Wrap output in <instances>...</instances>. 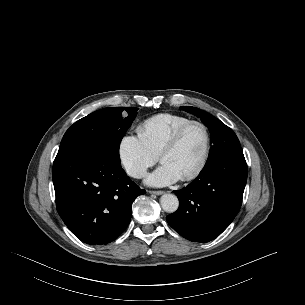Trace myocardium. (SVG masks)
<instances>
[{"label": "myocardium", "instance_id": "f54148a6", "mask_svg": "<svg viewBox=\"0 0 305 305\" xmlns=\"http://www.w3.org/2000/svg\"><path fill=\"white\" fill-rule=\"evenodd\" d=\"M200 126L204 133H205V138H206V142H205V149H204V153L203 156L201 158L200 163L198 164V166L191 171L190 173H188L187 175L183 176L180 178L181 181H190L192 179H195L196 177H198L203 170L205 169L209 157H210V153H211V147H212V137H211V133L210 130L208 128V126L203 123L202 121H198V120H191L187 123H185L184 125H182L181 127H179L174 133L173 135L169 138V140L162 146V148L160 149L159 153H158V160L160 162H162V158L163 156L170 152L171 150H173L179 143V141L181 140L183 134L185 133V131L190 128L191 126Z\"/></svg>", "mask_w": 305, "mask_h": 305}]
</instances>
